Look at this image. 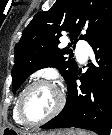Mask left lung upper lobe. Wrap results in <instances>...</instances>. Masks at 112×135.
Here are the masks:
<instances>
[{
  "label": "left lung upper lobe",
  "mask_w": 112,
  "mask_h": 135,
  "mask_svg": "<svg viewBox=\"0 0 112 135\" xmlns=\"http://www.w3.org/2000/svg\"><path fill=\"white\" fill-rule=\"evenodd\" d=\"M112 21V0H56L48 10L34 16L15 45V65L12 69L13 93L36 70L45 67L59 69L66 83L78 66L65 55L81 31L80 39L94 42ZM66 31L71 43L59 49V38ZM70 57V56H69Z\"/></svg>",
  "instance_id": "5c2ea615"
}]
</instances>
